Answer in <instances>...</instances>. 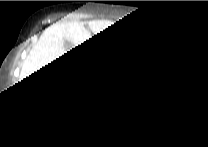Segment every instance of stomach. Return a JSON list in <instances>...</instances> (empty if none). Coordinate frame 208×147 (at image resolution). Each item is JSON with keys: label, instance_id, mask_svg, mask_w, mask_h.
<instances>
[{"label": "stomach", "instance_id": "stomach-1", "mask_svg": "<svg viewBox=\"0 0 208 147\" xmlns=\"http://www.w3.org/2000/svg\"><path fill=\"white\" fill-rule=\"evenodd\" d=\"M144 39L139 34L127 36L119 45V50L122 55L128 54L133 50H138Z\"/></svg>", "mask_w": 208, "mask_h": 147}]
</instances>
